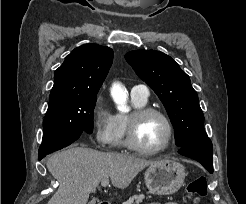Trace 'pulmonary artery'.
<instances>
[{"label":"pulmonary artery","mask_w":246,"mask_h":204,"mask_svg":"<svg viewBox=\"0 0 246 204\" xmlns=\"http://www.w3.org/2000/svg\"><path fill=\"white\" fill-rule=\"evenodd\" d=\"M131 96L133 98H137L143 101H147L148 97H149V89L147 88V86L143 85V84H138L135 85L132 89H131Z\"/></svg>","instance_id":"1"}]
</instances>
